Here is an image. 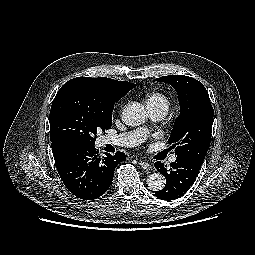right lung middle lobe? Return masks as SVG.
I'll use <instances>...</instances> for the list:
<instances>
[{
  "label": "right lung middle lobe",
  "instance_id": "obj_1",
  "mask_svg": "<svg viewBox=\"0 0 255 255\" xmlns=\"http://www.w3.org/2000/svg\"><path fill=\"white\" fill-rule=\"evenodd\" d=\"M101 79L77 77L60 88L50 111L51 142L94 145L97 132L110 129L114 104L126 92L110 93L101 86Z\"/></svg>",
  "mask_w": 255,
  "mask_h": 255
}]
</instances>
